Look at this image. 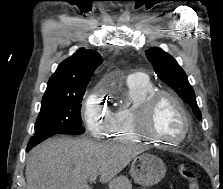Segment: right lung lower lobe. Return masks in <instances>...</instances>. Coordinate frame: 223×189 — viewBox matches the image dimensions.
<instances>
[{"label":"right lung lower lobe","instance_id":"obj_1","mask_svg":"<svg viewBox=\"0 0 223 189\" xmlns=\"http://www.w3.org/2000/svg\"><path fill=\"white\" fill-rule=\"evenodd\" d=\"M55 134H48V135H42V136H36V137H32L28 143L27 149L26 151H29L32 147L36 146L37 144H39L40 142H42L43 140L53 136Z\"/></svg>","mask_w":223,"mask_h":189}]
</instances>
